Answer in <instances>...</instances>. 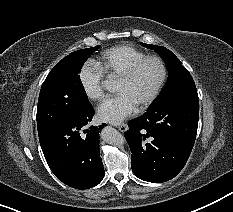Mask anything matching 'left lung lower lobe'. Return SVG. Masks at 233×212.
<instances>
[{
	"label": "left lung lower lobe",
	"mask_w": 233,
	"mask_h": 212,
	"mask_svg": "<svg viewBox=\"0 0 233 212\" xmlns=\"http://www.w3.org/2000/svg\"><path fill=\"white\" fill-rule=\"evenodd\" d=\"M198 120V99L173 98L152 104L143 116L130 121L125 138L133 173L153 183L174 178L192 151Z\"/></svg>",
	"instance_id": "left-lung-lower-lobe-1"
}]
</instances>
